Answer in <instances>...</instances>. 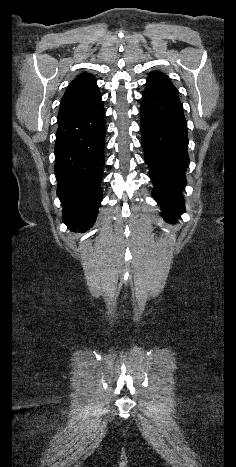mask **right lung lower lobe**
I'll return each instance as SVG.
<instances>
[{
	"label": "right lung lower lobe",
	"instance_id": "1",
	"mask_svg": "<svg viewBox=\"0 0 236 467\" xmlns=\"http://www.w3.org/2000/svg\"><path fill=\"white\" fill-rule=\"evenodd\" d=\"M57 122L54 172L63 222L87 230L93 226L103 199L100 184L106 127L101 97Z\"/></svg>",
	"mask_w": 236,
	"mask_h": 467
}]
</instances>
